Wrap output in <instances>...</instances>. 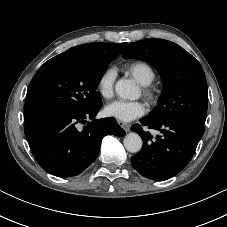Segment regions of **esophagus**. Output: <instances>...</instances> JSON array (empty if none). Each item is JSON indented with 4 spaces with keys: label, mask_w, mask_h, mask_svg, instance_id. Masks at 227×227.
Here are the masks:
<instances>
[{
    "label": "esophagus",
    "mask_w": 227,
    "mask_h": 227,
    "mask_svg": "<svg viewBox=\"0 0 227 227\" xmlns=\"http://www.w3.org/2000/svg\"><path fill=\"white\" fill-rule=\"evenodd\" d=\"M119 125L124 129V131L129 132L130 131V125L124 122L119 121Z\"/></svg>",
    "instance_id": "esophagus-1"
}]
</instances>
